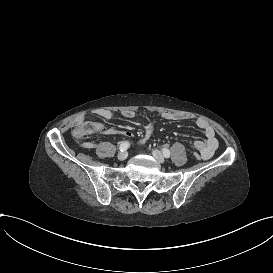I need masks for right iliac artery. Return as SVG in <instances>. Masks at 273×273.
Wrapping results in <instances>:
<instances>
[{
    "label": "right iliac artery",
    "mask_w": 273,
    "mask_h": 273,
    "mask_svg": "<svg viewBox=\"0 0 273 273\" xmlns=\"http://www.w3.org/2000/svg\"><path fill=\"white\" fill-rule=\"evenodd\" d=\"M129 146H130L129 142H122L120 147H119V150L121 152L126 151L129 148Z\"/></svg>",
    "instance_id": "obj_1"
}]
</instances>
